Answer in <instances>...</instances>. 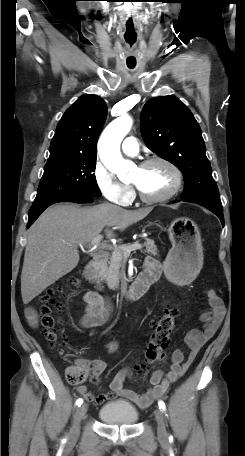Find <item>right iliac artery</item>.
<instances>
[{
    "mask_svg": "<svg viewBox=\"0 0 245 456\" xmlns=\"http://www.w3.org/2000/svg\"><path fill=\"white\" fill-rule=\"evenodd\" d=\"M82 403H83V399H82V398H79V399H77V401H76L75 404H76L77 406H81Z\"/></svg>",
    "mask_w": 245,
    "mask_h": 456,
    "instance_id": "obj_1",
    "label": "right iliac artery"
}]
</instances>
